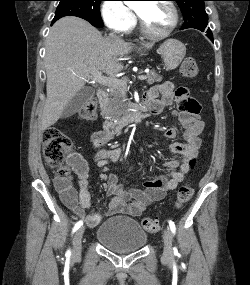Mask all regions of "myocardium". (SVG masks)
<instances>
[{
    "label": "myocardium",
    "instance_id": "f54148a6",
    "mask_svg": "<svg viewBox=\"0 0 250 285\" xmlns=\"http://www.w3.org/2000/svg\"><path fill=\"white\" fill-rule=\"evenodd\" d=\"M161 3L166 4L170 8V10L172 12V17H173L170 27L162 34L151 33L146 28L141 16L137 13L139 29H140L141 34L144 37L151 39V40H157L158 41V40H163V39L168 38L174 32V30L177 28L178 23H179V12H178V9H177L176 5L174 4V2H172L171 0H164Z\"/></svg>",
    "mask_w": 250,
    "mask_h": 285
}]
</instances>
